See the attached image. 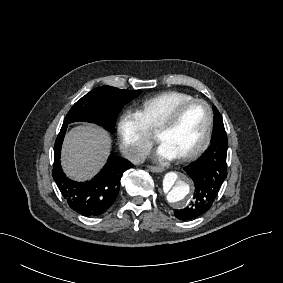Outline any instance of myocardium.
<instances>
[{"mask_svg": "<svg viewBox=\"0 0 283 283\" xmlns=\"http://www.w3.org/2000/svg\"><path fill=\"white\" fill-rule=\"evenodd\" d=\"M195 103L202 104L205 107L207 111V126H206V130H205V133L203 135L201 142L193 150L177 157L181 161H188L192 158H195L200 153H202L208 146L210 139H211L212 128H213V123H214V112H213L211 105L207 101L203 99H199V98H192L190 100L181 102L173 106L166 115H162L160 117L158 126L154 130L155 140L157 143L160 144V138H159L160 134L163 131L171 129L175 125L179 117L182 115V113L190 105L195 104Z\"/></svg>", "mask_w": 283, "mask_h": 283, "instance_id": "obj_1", "label": "myocardium"}]
</instances>
